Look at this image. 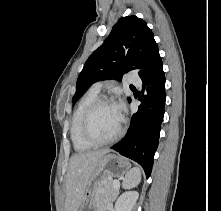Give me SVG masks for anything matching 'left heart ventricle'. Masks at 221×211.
<instances>
[{
    "label": "left heart ventricle",
    "instance_id": "obj_1",
    "mask_svg": "<svg viewBox=\"0 0 221 211\" xmlns=\"http://www.w3.org/2000/svg\"><path fill=\"white\" fill-rule=\"evenodd\" d=\"M121 125V116L117 113L112 104H105L98 107L90 123V131L97 139H108L112 137Z\"/></svg>",
    "mask_w": 221,
    "mask_h": 211
}]
</instances>
